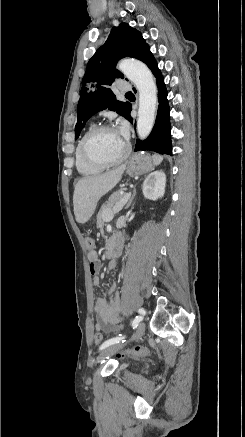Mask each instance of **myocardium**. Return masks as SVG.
<instances>
[{"label":"myocardium","mask_w":245,"mask_h":437,"mask_svg":"<svg viewBox=\"0 0 245 437\" xmlns=\"http://www.w3.org/2000/svg\"><path fill=\"white\" fill-rule=\"evenodd\" d=\"M114 129L115 127L110 124H101V125L94 126L84 135L81 142V151L86 161H88L89 163L95 166L107 168V167L118 165L128 158L131 151V146L129 142H126V149L124 153L119 158L114 160L99 159L95 157L90 151V143L94 137H96L98 134L102 132L108 130H114Z\"/></svg>","instance_id":"obj_1"}]
</instances>
